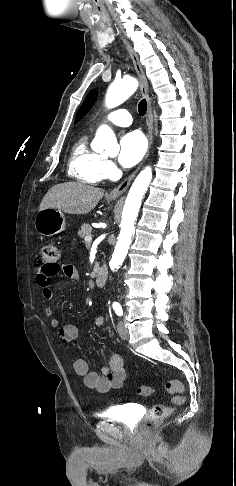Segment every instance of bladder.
Listing matches in <instances>:
<instances>
[{
  "label": "bladder",
  "instance_id": "obj_1",
  "mask_svg": "<svg viewBox=\"0 0 236 486\" xmlns=\"http://www.w3.org/2000/svg\"><path fill=\"white\" fill-rule=\"evenodd\" d=\"M138 408L132 404H122L110 407L99 412V417L119 422L125 425H133L136 421Z\"/></svg>",
  "mask_w": 236,
  "mask_h": 486
}]
</instances>
